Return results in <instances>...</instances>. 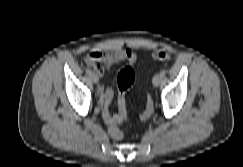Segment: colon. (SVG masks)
Returning a JSON list of instances; mask_svg holds the SVG:
<instances>
[{"instance_id": "obj_1", "label": "colon", "mask_w": 243, "mask_h": 167, "mask_svg": "<svg viewBox=\"0 0 243 167\" xmlns=\"http://www.w3.org/2000/svg\"><path fill=\"white\" fill-rule=\"evenodd\" d=\"M152 58L155 61H168L171 58L169 52L164 50H158L152 53ZM135 81V71L132 67L123 68L118 76H117V86L119 91V104H120V114L119 121L116 123H112L109 125V133L114 139H120L122 137V133L118 128V124L127 121V112H126V99L125 93L127 89L134 83ZM154 112V103L151 96L147 97V102L144 111L140 115L141 120L149 119Z\"/></svg>"}]
</instances>
